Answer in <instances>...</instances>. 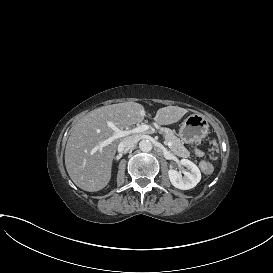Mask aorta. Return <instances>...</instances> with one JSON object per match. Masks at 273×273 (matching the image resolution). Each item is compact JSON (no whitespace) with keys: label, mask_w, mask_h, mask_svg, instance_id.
I'll list each match as a JSON object with an SVG mask.
<instances>
[{"label":"aorta","mask_w":273,"mask_h":273,"mask_svg":"<svg viewBox=\"0 0 273 273\" xmlns=\"http://www.w3.org/2000/svg\"><path fill=\"white\" fill-rule=\"evenodd\" d=\"M139 148L143 152H150L152 150V143L149 140H141L139 143Z\"/></svg>","instance_id":"1"}]
</instances>
